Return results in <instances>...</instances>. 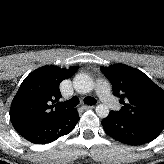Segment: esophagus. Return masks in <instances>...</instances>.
Segmentation results:
<instances>
[{
    "label": "esophagus",
    "instance_id": "1",
    "mask_svg": "<svg viewBox=\"0 0 164 164\" xmlns=\"http://www.w3.org/2000/svg\"><path fill=\"white\" fill-rule=\"evenodd\" d=\"M94 107V104L93 105H85L83 108L84 109H91V108H93Z\"/></svg>",
    "mask_w": 164,
    "mask_h": 164
}]
</instances>
